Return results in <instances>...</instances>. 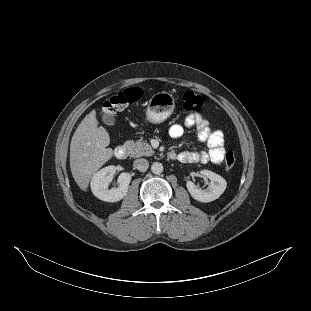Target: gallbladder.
<instances>
[{
  "instance_id": "obj_1",
  "label": "gallbladder",
  "mask_w": 311,
  "mask_h": 311,
  "mask_svg": "<svg viewBox=\"0 0 311 311\" xmlns=\"http://www.w3.org/2000/svg\"><path fill=\"white\" fill-rule=\"evenodd\" d=\"M102 120L106 125H114L115 124V117L110 114H103Z\"/></svg>"
}]
</instances>
